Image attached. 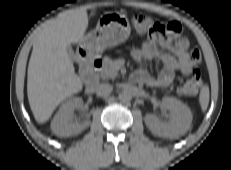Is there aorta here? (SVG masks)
I'll return each mask as SVG.
<instances>
[{
    "instance_id": "aorta-1",
    "label": "aorta",
    "mask_w": 231,
    "mask_h": 170,
    "mask_svg": "<svg viewBox=\"0 0 231 170\" xmlns=\"http://www.w3.org/2000/svg\"><path fill=\"white\" fill-rule=\"evenodd\" d=\"M118 99L123 103H127V102L131 101L132 95L128 91H122V92L119 93Z\"/></svg>"
}]
</instances>
